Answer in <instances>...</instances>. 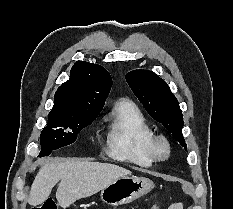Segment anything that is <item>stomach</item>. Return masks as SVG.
Instances as JSON below:
<instances>
[{"instance_id":"stomach-1","label":"stomach","mask_w":233,"mask_h":209,"mask_svg":"<svg viewBox=\"0 0 233 209\" xmlns=\"http://www.w3.org/2000/svg\"><path fill=\"white\" fill-rule=\"evenodd\" d=\"M154 188V183L145 177L123 176L101 190L100 199L107 205L128 204L146 195Z\"/></svg>"}]
</instances>
